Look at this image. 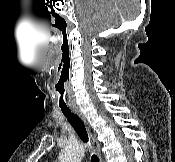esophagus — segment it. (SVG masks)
Wrapping results in <instances>:
<instances>
[{
    "mask_svg": "<svg viewBox=\"0 0 175 162\" xmlns=\"http://www.w3.org/2000/svg\"><path fill=\"white\" fill-rule=\"evenodd\" d=\"M72 109L84 121V123L87 125V122H86L85 117L82 114V112L78 108H76V107H73ZM88 132H89V135H90V138H91V141H92L93 150L98 155L99 162H102L100 145H99L97 139L95 138V136L91 133V131H90L89 128H88Z\"/></svg>",
    "mask_w": 175,
    "mask_h": 162,
    "instance_id": "obj_1",
    "label": "esophagus"
}]
</instances>
